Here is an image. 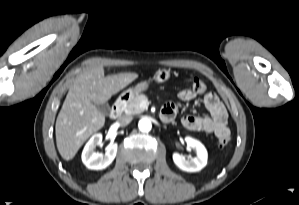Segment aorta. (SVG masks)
I'll use <instances>...</instances> for the list:
<instances>
[{"label":"aorta","mask_w":299,"mask_h":205,"mask_svg":"<svg viewBox=\"0 0 299 205\" xmlns=\"http://www.w3.org/2000/svg\"><path fill=\"white\" fill-rule=\"evenodd\" d=\"M138 127L141 132H149L152 128V124L148 119H141L138 123Z\"/></svg>","instance_id":"aorta-1"}]
</instances>
